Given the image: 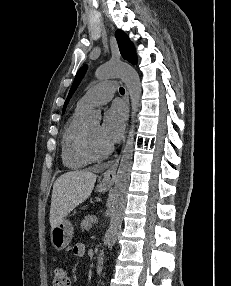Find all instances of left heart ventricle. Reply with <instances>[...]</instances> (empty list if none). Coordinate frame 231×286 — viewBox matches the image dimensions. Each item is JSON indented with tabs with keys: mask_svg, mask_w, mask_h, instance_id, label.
Masks as SVG:
<instances>
[{
	"mask_svg": "<svg viewBox=\"0 0 231 286\" xmlns=\"http://www.w3.org/2000/svg\"><path fill=\"white\" fill-rule=\"evenodd\" d=\"M88 135H89V140L92 146V149L96 153H102L104 152L107 148L108 145L101 139L100 134H99V124L98 123H92L86 125Z\"/></svg>",
	"mask_w": 231,
	"mask_h": 286,
	"instance_id": "b2bd125f",
	"label": "left heart ventricle"
}]
</instances>
